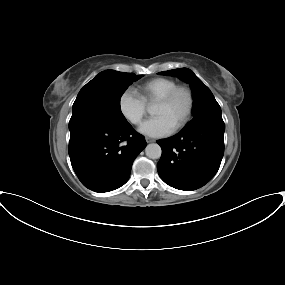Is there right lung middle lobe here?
<instances>
[{"mask_svg":"<svg viewBox=\"0 0 285 285\" xmlns=\"http://www.w3.org/2000/svg\"><path fill=\"white\" fill-rule=\"evenodd\" d=\"M141 77L114 70L99 73L80 90L73 104L69 129L90 120L114 126L127 124L120 109V98L127 87Z\"/></svg>","mask_w":285,"mask_h":285,"instance_id":"right-lung-middle-lobe-1","label":"right lung middle lobe"}]
</instances>
